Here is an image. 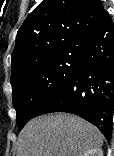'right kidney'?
<instances>
[{"label": "right kidney", "instance_id": "ca27d5eb", "mask_svg": "<svg viewBox=\"0 0 114 156\" xmlns=\"http://www.w3.org/2000/svg\"><path fill=\"white\" fill-rule=\"evenodd\" d=\"M83 156H103V152L101 149H90Z\"/></svg>", "mask_w": 114, "mask_h": 156}]
</instances>
